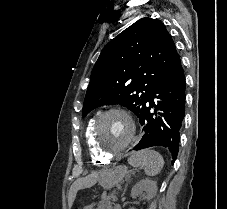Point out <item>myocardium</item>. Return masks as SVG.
<instances>
[{
    "label": "myocardium",
    "instance_id": "f54148a6",
    "mask_svg": "<svg viewBox=\"0 0 227 209\" xmlns=\"http://www.w3.org/2000/svg\"><path fill=\"white\" fill-rule=\"evenodd\" d=\"M114 113L121 114L128 120V122L130 123V126H131V135H130L129 139L122 146H120L116 149H113V150H107L100 143L99 129H100L102 121L108 115L114 114ZM136 134H137L136 124H135L134 120L132 119L131 115L127 111H125L121 108L113 107V108H110V109H107V110L101 112L96 117L93 128H92V141L100 155L112 158V157H115V156L119 155L120 153H122L130 145L131 141L136 137Z\"/></svg>",
    "mask_w": 227,
    "mask_h": 209
}]
</instances>
